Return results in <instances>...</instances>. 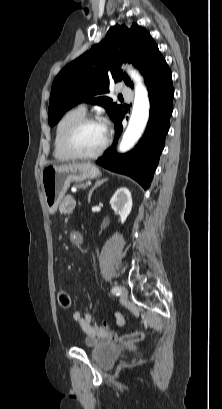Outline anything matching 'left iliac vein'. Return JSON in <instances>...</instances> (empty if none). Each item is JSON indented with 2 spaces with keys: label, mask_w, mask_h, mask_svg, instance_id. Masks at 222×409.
Returning a JSON list of instances; mask_svg holds the SVG:
<instances>
[{
  "label": "left iliac vein",
  "mask_w": 222,
  "mask_h": 409,
  "mask_svg": "<svg viewBox=\"0 0 222 409\" xmlns=\"http://www.w3.org/2000/svg\"><path fill=\"white\" fill-rule=\"evenodd\" d=\"M120 289H121V294H120L121 300H127V298H128L127 288L122 286Z\"/></svg>",
  "instance_id": "obj_1"
}]
</instances>
